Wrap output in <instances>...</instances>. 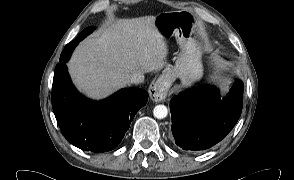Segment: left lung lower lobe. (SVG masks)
Segmentation results:
<instances>
[{
    "mask_svg": "<svg viewBox=\"0 0 294 180\" xmlns=\"http://www.w3.org/2000/svg\"><path fill=\"white\" fill-rule=\"evenodd\" d=\"M243 85L237 82L221 100L216 88L187 90L170 102L172 134L184 150H205L221 141L242 111Z\"/></svg>",
    "mask_w": 294,
    "mask_h": 180,
    "instance_id": "1",
    "label": "left lung lower lobe"
}]
</instances>
